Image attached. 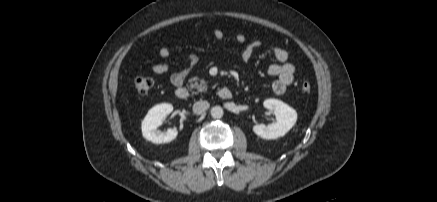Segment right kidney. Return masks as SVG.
<instances>
[{
	"label": "right kidney",
	"mask_w": 437,
	"mask_h": 202,
	"mask_svg": "<svg viewBox=\"0 0 437 202\" xmlns=\"http://www.w3.org/2000/svg\"><path fill=\"white\" fill-rule=\"evenodd\" d=\"M172 111L173 106L168 103H162L152 107L142 121L141 128L143 137L155 144L168 143L174 140L178 135L176 129H168L165 132L157 130V128L162 125L164 118Z\"/></svg>",
	"instance_id": "right-kidney-1"
}]
</instances>
